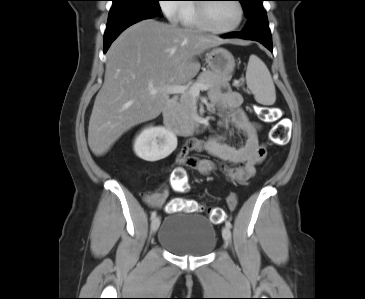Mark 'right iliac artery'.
<instances>
[{"mask_svg": "<svg viewBox=\"0 0 365 299\" xmlns=\"http://www.w3.org/2000/svg\"><path fill=\"white\" fill-rule=\"evenodd\" d=\"M156 211H153L152 213H151V218L153 219L154 217H156Z\"/></svg>", "mask_w": 365, "mask_h": 299, "instance_id": "obj_1", "label": "right iliac artery"}]
</instances>
